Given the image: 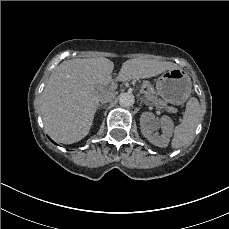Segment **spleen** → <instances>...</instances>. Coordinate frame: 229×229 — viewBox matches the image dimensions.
<instances>
[{
  "mask_svg": "<svg viewBox=\"0 0 229 229\" xmlns=\"http://www.w3.org/2000/svg\"><path fill=\"white\" fill-rule=\"evenodd\" d=\"M202 121L203 115L200 112V104L197 99L192 98L188 102L183 122L174 129L172 147L180 148L190 145L193 142L195 130Z\"/></svg>",
  "mask_w": 229,
  "mask_h": 229,
  "instance_id": "spleen-1",
  "label": "spleen"
}]
</instances>
